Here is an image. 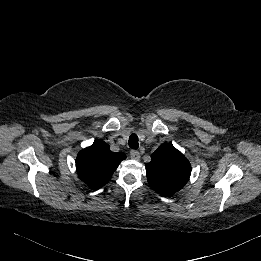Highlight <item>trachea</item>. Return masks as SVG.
I'll return each instance as SVG.
<instances>
[{
	"mask_svg": "<svg viewBox=\"0 0 261 261\" xmlns=\"http://www.w3.org/2000/svg\"><path fill=\"white\" fill-rule=\"evenodd\" d=\"M128 143L130 148L137 149L139 147L138 136L135 133L131 134Z\"/></svg>",
	"mask_w": 261,
	"mask_h": 261,
	"instance_id": "3493384b",
	"label": "trachea"
}]
</instances>
